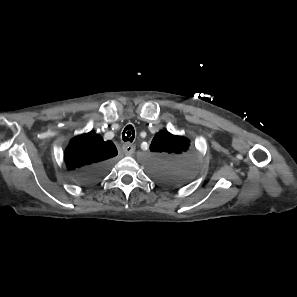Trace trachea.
<instances>
[{
	"instance_id": "obj_1",
	"label": "trachea",
	"mask_w": 297,
	"mask_h": 297,
	"mask_svg": "<svg viewBox=\"0 0 297 297\" xmlns=\"http://www.w3.org/2000/svg\"><path fill=\"white\" fill-rule=\"evenodd\" d=\"M135 137L134 128L132 125L126 126L122 133V139L124 142H133Z\"/></svg>"
}]
</instances>
